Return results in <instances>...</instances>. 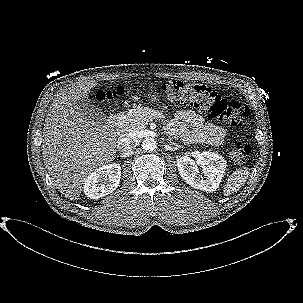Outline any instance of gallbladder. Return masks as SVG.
I'll list each match as a JSON object with an SVG mask.
<instances>
[{
  "label": "gallbladder",
  "instance_id": "1",
  "mask_svg": "<svg viewBox=\"0 0 303 303\" xmlns=\"http://www.w3.org/2000/svg\"><path fill=\"white\" fill-rule=\"evenodd\" d=\"M77 107L83 115L88 116L95 122L102 123L105 120L103 112L85 98L77 101Z\"/></svg>",
  "mask_w": 303,
  "mask_h": 303
}]
</instances>
